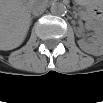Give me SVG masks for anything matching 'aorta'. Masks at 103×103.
Returning <instances> with one entry per match:
<instances>
[{
	"label": "aorta",
	"mask_w": 103,
	"mask_h": 103,
	"mask_svg": "<svg viewBox=\"0 0 103 103\" xmlns=\"http://www.w3.org/2000/svg\"><path fill=\"white\" fill-rule=\"evenodd\" d=\"M50 10L53 15L57 16H62L67 12L66 6L61 2H54Z\"/></svg>",
	"instance_id": "obj_1"
}]
</instances>
